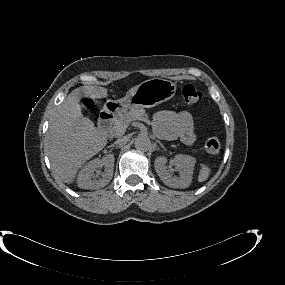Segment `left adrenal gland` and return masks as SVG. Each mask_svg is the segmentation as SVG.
Instances as JSON below:
<instances>
[{"label":"left adrenal gland","mask_w":285,"mask_h":285,"mask_svg":"<svg viewBox=\"0 0 285 285\" xmlns=\"http://www.w3.org/2000/svg\"><path fill=\"white\" fill-rule=\"evenodd\" d=\"M156 143H158L162 148H164V145L159 140H156Z\"/></svg>","instance_id":"a2214340"}]
</instances>
